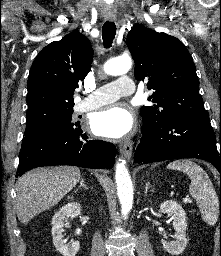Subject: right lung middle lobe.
Instances as JSON below:
<instances>
[{"label": "right lung middle lobe", "instance_id": "obj_1", "mask_svg": "<svg viewBox=\"0 0 221 256\" xmlns=\"http://www.w3.org/2000/svg\"><path fill=\"white\" fill-rule=\"evenodd\" d=\"M73 106L44 107L27 112V125L24 135L39 131L50 125L71 123Z\"/></svg>", "mask_w": 221, "mask_h": 256}]
</instances>
